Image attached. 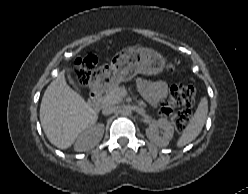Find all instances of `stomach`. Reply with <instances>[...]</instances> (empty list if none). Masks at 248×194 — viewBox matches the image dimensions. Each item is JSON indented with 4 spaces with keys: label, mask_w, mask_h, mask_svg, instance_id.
I'll list each match as a JSON object with an SVG mask.
<instances>
[{
    "label": "stomach",
    "mask_w": 248,
    "mask_h": 194,
    "mask_svg": "<svg viewBox=\"0 0 248 194\" xmlns=\"http://www.w3.org/2000/svg\"><path fill=\"white\" fill-rule=\"evenodd\" d=\"M165 60L151 48H137L116 54L110 65L103 67L107 87H116L121 82L132 80L137 74L157 75L163 71Z\"/></svg>",
    "instance_id": "1"
}]
</instances>
